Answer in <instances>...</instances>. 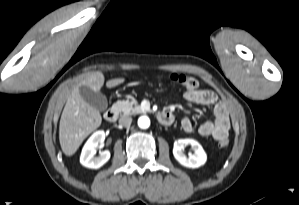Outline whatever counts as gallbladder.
Here are the masks:
<instances>
[{
	"instance_id": "obj_1",
	"label": "gallbladder",
	"mask_w": 299,
	"mask_h": 205,
	"mask_svg": "<svg viewBox=\"0 0 299 205\" xmlns=\"http://www.w3.org/2000/svg\"><path fill=\"white\" fill-rule=\"evenodd\" d=\"M79 93L85 102L98 111H104L107 109V98L101 92H95L87 86H80Z\"/></svg>"
}]
</instances>
